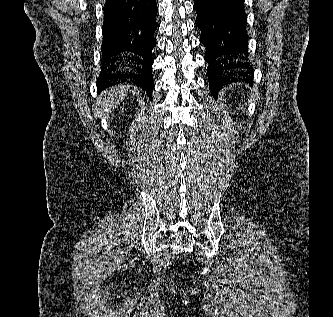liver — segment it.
<instances>
[{"instance_id":"1","label":"liver","mask_w":333,"mask_h":317,"mask_svg":"<svg viewBox=\"0 0 333 317\" xmlns=\"http://www.w3.org/2000/svg\"><path fill=\"white\" fill-rule=\"evenodd\" d=\"M130 87L128 85H120L110 87L103 91L98 99V109L104 115H109L111 112L125 99Z\"/></svg>"}]
</instances>
